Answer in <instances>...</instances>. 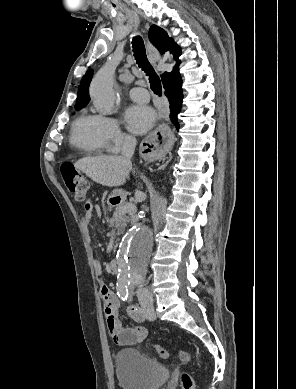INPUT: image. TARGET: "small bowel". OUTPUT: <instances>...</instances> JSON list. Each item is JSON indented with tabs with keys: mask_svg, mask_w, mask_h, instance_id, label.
Here are the masks:
<instances>
[{
	"mask_svg": "<svg viewBox=\"0 0 296 389\" xmlns=\"http://www.w3.org/2000/svg\"><path fill=\"white\" fill-rule=\"evenodd\" d=\"M101 216V209L91 202L84 205L82 224L87 229L93 217ZM101 298L104 303V313L107 329L111 339L120 346H130L141 343L147 336V330L142 326L124 327L118 319L119 299L116 294L107 286L100 289Z\"/></svg>",
	"mask_w": 296,
	"mask_h": 389,
	"instance_id": "obj_1",
	"label": "small bowel"
}]
</instances>
